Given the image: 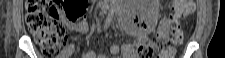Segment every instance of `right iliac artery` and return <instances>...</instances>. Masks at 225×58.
Wrapping results in <instances>:
<instances>
[{"mask_svg":"<svg viewBox=\"0 0 225 58\" xmlns=\"http://www.w3.org/2000/svg\"><path fill=\"white\" fill-rule=\"evenodd\" d=\"M110 23H111V18H107L104 24V30L109 27Z\"/></svg>","mask_w":225,"mask_h":58,"instance_id":"82829eb1","label":"right iliac artery"}]
</instances>
